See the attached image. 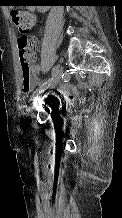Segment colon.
Listing matches in <instances>:
<instances>
[{
	"instance_id": "obj_1",
	"label": "colon",
	"mask_w": 122,
	"mask_h": 218,
	"mask_svg": "<svg viewBox=\"0 0 122 218\" xmlns=\"http://www.w3.org/2000/svg\"><path fill=\"white\" fill-rule=\"evenodd\" d=\"M13 23L22 32L23 36L19 39V63L21 72V85L25 92L32 89L33 79L31 74V54L32 44L27 33L35 25V15L22 10L14 9L11 11Z\"/></svg>"
}]
</instances>
